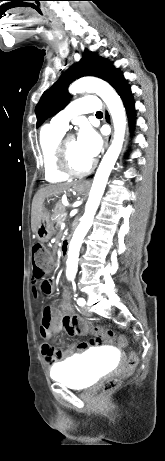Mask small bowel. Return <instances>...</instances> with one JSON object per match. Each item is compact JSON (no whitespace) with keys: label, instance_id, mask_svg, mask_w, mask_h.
Instances as JSON below:
<instances>
[{"label":"small bowel","instance_id":"obj_1","mask_svg":"<svg viewBox=\"0 0 165 461\" xmlns=\"http://www.w3.org/2000/svg\"><path fill=\"white\" fill-rule=\"evenodd\" d=\"M56 284L52 280H43L37 289L33 287L34 297L38 296V291L44 297H50L55 291ZM71 293L64 289L58 307L47 306L44 308L39 325V333L45 340L50 339L54 334L65 331L69 335H85L89 327L84 319L70 312ZM103 334L95 333L94 336L80 337L79 345H71L67 350L60 346H52L48 343L41 345V354L49 366H55L60 362L70 358L76 350L77 354H91L93 351H100L103 345Z\"/></svg>","mask_w":165,"mask_h":461}]
</instances>
